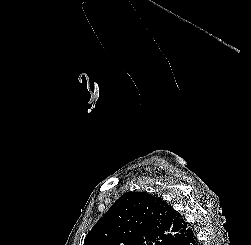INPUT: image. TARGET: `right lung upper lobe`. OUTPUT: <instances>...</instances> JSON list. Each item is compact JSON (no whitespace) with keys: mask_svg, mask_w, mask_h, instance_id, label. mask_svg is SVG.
Wrapping results in <instances>:
<instances>
[{"mask_svg":"<svg viewBox=\"0 0 251 245\" xmlns=\"http://www.w3.org/2000/svg\"><path fill=\"white\" fill-rule=\"evenodd\" d=\"M187 230L183 217L162 199L129 192L94 225L84 245H168Z\"/></svg>","mask_w":251,"mask_h":245,"instance_id":"cb5924a9","label":"right lung upper lobe"}]
</instances>
